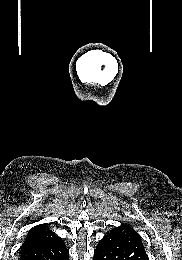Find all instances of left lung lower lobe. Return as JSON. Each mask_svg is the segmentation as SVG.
Masks as SVG:
<instances>
[{
	"mask_svg": "<svg viewBox=\"0 0 182 260\" xmlns=\"http://www.w3.org/2000/svg\"><path fill=\"white\" fill-rule=\"evenodd\" d=\"M94 260H148L141 238L125 226L114 228L99 241Z\"/></svg>",
	"mask_w": 182,
	"mask_h": 260,
	"instance_id": "obj_1",
	"label": "left lung lower lobe"
}]
</instances>
